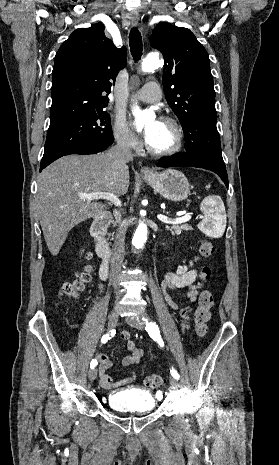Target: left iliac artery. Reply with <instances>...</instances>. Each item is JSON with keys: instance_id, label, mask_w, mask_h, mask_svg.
Instances as JSON below:
<instances>
[{"instance_id": "1", "label": "left iliac artery", "mask_w": 279, "mask_h": 465, "mask_svg": "<svg viewBox=\"0 0 279 465\" xmlns=\"http://www.w3.org/2000/svg\"><path fill=\"white\" fill-rule=\"evenodd\" d=\"M143 321L146 322V331L148 332L149 336L154 341H156L160 346H164L163 340H162L161 335H160L159 328L156 325V323L148 321L147 318H143ZM171 375L176 379H179V377H180L175 369L171 370Z\"/></svg>"}]
</instances>
